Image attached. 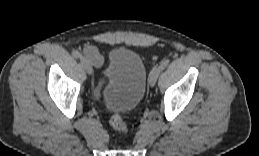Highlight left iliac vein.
I'll use <instances>...</instances> for the list:
<instances>
[{"mask_svg":"<svg viewBox=\"0 0 259 156\" xmlns=\"http://www.w3.org/2000/svg\"><path fill=\"white\" fill-rule=\"evenodd\" d=\"M161 71H162V70H161L160 66L157 67V68H154V69L152 70V72H151V74H150V77H149V85H150V86H154V85L156 84L157 79H158V77H159Z\"/></svg>","mask_w":259,"mask_h":156,"instance_id":"obj_1","label":"left iliac vein"}]
</instances>
